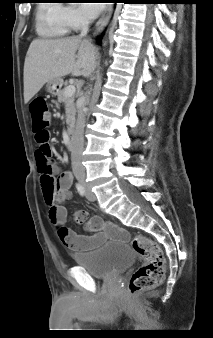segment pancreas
<instances>
[{"label": "pancreas", "mask_w": 213, "mask_h": 338, "mask_svg": "<svg viewBox=\"0 0 213 338\" xmlns=\"http://www.w3.org/2000/svg\"><path fill=\"white\" fill-rule=\"evenodd\" d=\"M65 89L60 90L57 93V99L59 103H63L65 106V113H66V124L69 128H72L75 123V116H76V108L74 103V96L66 97Z\"/></svg>", "instance_id": "obj_1"}]
</instances>
